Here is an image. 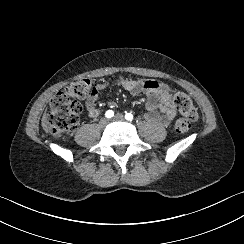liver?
<instances>
[{
    "mask_svg": "<svg viewBox=\"0 0 244 244\" xmlns=\"http://www.w3.org/2000/svg\"><path fill=\"white\" fill-rule=\"evenodd\" d=\"M41 126H42V129L44 130V132L46 134L49 133V129H48V126H47V118H46V113L43 114L42 116V119H41Z\"/></svg>",
    "mask_w": 244,
    "mask_h": 244,
    "instance_id": "liver-1",
    "label": "liver"
}]
</instances>
